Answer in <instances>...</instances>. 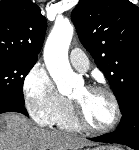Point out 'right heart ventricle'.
Returning <instances> with one entry per match:
<instances>
[{
	"label": "right heart ventricle",
	"instance_id": "right-heart-ventricle-1",
	"mask_svg": "<svg viewBox=\"0 0 139 150\" xmlns=\"http://www.w3.org/2000/svg\"><path fill=\"white\" fill-rule=\"evenodd\" d=\"M53 124L67 131H78L81 129L74 119L73 107L70 101L67 100L65 107L58 114Z\"/></svg>",
	"mask_w": 139,
	"mask_h": 150
}]
</instances>
